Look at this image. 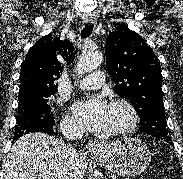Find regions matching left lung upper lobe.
Returning <instances> with one entry per match:
<instances>
[{
	"mask_svg": "<svg viewBox=\"0 0 183 179\" xmlns=\"http://www.w3.org/2000/svg\"><path fill=\"white\" fill-rule=\"evenodd\" d=\"M106 66L115 92L131 101L140 117L139 130L160 139L170 138L161 89V69L143 38L120 24L105 45Z\"/></svg>",
	"mask_w": 183,
	"mask_h": 179,
	"instance_id": "left-lung-upper-lobe-1",
	"label": "left lung upper lobe"
}]
</instances>
